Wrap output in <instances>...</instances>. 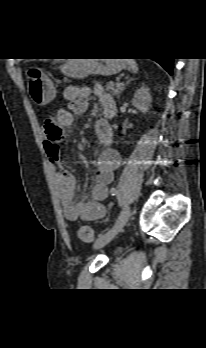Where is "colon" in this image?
I'll return each mask as SVG.
<instances>
[{"mask_svg": "<svg viewBox=\"0 0 206 348\" xmlns=\"http://www.w3.org/2000/svg\"><path fill=\"white\" fill-rule=\"evenodd\" d=\"M26 81L30 94L35 100L44 99L46 94L52 89V85L46 81L43 72L39 68L29 69L26 73ZM78 236L82 241L87 243H91L95 239L94 231L88 226H81L78 230Z\"/></svg>", "mask_w": 206, "mask_h": 348, "instance_id": "obj_1", "label": "colon"}]
</instances>
